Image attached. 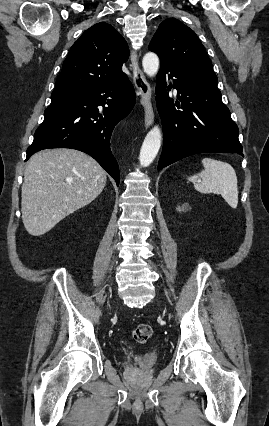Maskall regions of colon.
Instances as JSON below:
<instances>
[{"instance_id": "5ec220e1", "label": "colon", "mask_w": 269, "mask_h": 426, "mask_svg": "<svg viewBox=\"0 0 269 426\" xmlns=\"http://www.w3.org/2000/svg\"><path fill=\"white\" fill-rule=\"evenodd\" d=\"M152 336V328L147 324H138L133 329V338L138 343H146Z\"/></svg>"}]
</instances>
